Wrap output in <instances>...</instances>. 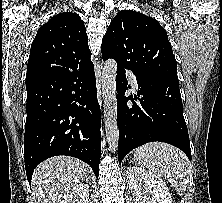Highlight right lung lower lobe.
I'll return each instance as SVG.
<instances>
[{
    "label": "right lung lower lobe",
    "instance_id": "obj_1",
    "mask_svg": "<svg viewBox=\"0 0 222 203\" xmlns=\"http://www.w3.org/2000/svg\"><path fill=\"white\" fill-rule=\"evenodd\" d=\"M24 157L31 183L35 167L52 156L78 158L99 175L101 116L93 66L26 85Z\"/></svg>",
    "mask_w": 222,
    "mask_h": 203
}]
</instances>
